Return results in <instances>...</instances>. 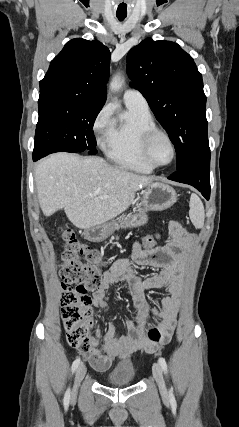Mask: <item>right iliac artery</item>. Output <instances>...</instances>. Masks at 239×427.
<instances>
[{"label":"right iliac artery","instance_id":"obj_1","mask_svg":"<svg viewBox=\"0 0 239 427\" xmlns=\"http://www.w3.org/2000/svg\"><path fill=\"white\" fill-rule=\"evenodd\" d=\"M80 365V358H77L73 364H72V373L75 372V370ZM70 401V388L67 389L65 396H64V405H68Z\"/></svg>","mask_w":239,"mask_h":427}]
</instances>
